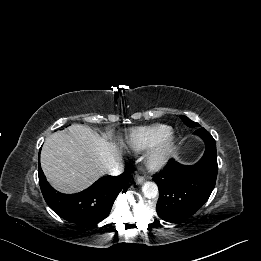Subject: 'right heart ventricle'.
I'll return each instance as SVG.
<instances>
[{"label": "right heart ventricle", "instance_id": "1", "mask_svg": "<svg viewBox=\"0 0 261 261\" xmlns=\"http://www.w3.org/2000/svg\"><path fill=\"white\" fill-rule=\"evenodd\" d=\"M170 133V127L162 124L140 127L130 132L127 145L135 152H142L152 148Z\"/></svg>", "mask_w": 261, "mask_h": 261}]
</instances>
